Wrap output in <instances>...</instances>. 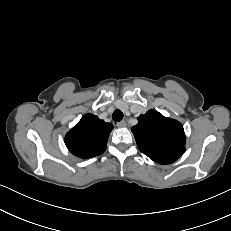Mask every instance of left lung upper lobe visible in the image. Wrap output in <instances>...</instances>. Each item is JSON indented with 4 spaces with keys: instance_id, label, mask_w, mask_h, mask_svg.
I'll return each mask as SVG.
<instances>
[{
    "instance_id": "left-lung-upper-lobe-1",
    "label": "left lung upper lobe",
    "mask_w": 231,
    "mask_h": 231,
    "mask_svg": "<svg viewBox=\"0 0 231 231\" xmlns=\"http://www.w3.org/2000/svg\"><path fill=\"white\" fill-rule=\"evenodd\" d=\"M139 150L159 164L175 162L185 151V134L180 122L149 110L132 127Z\"/></svg>"
}]
</instances>
